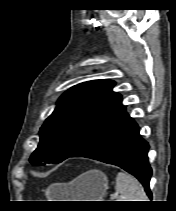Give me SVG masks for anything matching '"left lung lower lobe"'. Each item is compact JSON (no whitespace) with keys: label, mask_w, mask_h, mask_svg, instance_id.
<instances>
[{"label":"left lung lower lobe","mask_w":176,"mask_h":211,"mask_svg":"<svg viewBox=\"0 0 176 211\" xmlns=\"http://www.w3.org/2000/svg\"><path fill=\"white\" fill-rule=\"evenodd\" d=\"M148 150L149 145L139 135L137 123L124 109L70 157H86L123 168L136 176L152 198L149 188L152 169L148 163Z\"/></svg>","instance_id":"obj_1"}]
</instances>
